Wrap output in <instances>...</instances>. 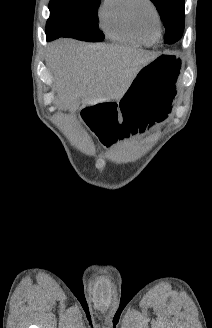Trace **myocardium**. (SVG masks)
<instances>
[{
  "label": "myocardium",
  "mask_w": 212,
  "mask_h": 328,
  "mask_svg": "<svg viewBox=\"0 0 212 328\" xmlns=\"http://www.w3.org/2000/svg\"><path fill=\"white\" fill-rule=\"evenodd\" d=\"M132 1H133V3L130 8V16H131V20H132L135 28L137 29V31L141 34H143V32H146L139 20L138 8L141 5H147L153 11V14L155 17V22H156V32L159 37L160 32H161V27H162V21H161L160 13H159L156 5L153 3V1L152 0H132Z\"/></svg>",
  "instance_id": "myocardium-1"
}]
</instances>
